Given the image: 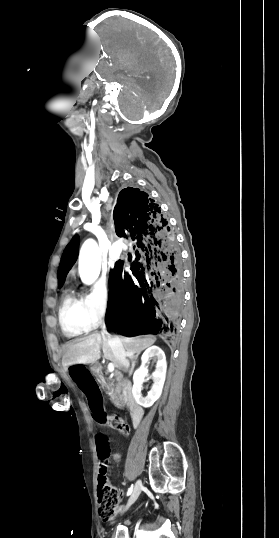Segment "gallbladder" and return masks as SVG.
<instances>
[{"mask_svg":"<svg viewBox=\"0 0 279 538\" xmlns=\"http://www.w3.org/2000/svg\"><path fill=\"white\" fill-rule=\"evenodd\" d=\"M121 383H124V380H121Z\"/></svg>","mask_w":279,"mask_h":538,"instance_id":"bac80fb5","label":"gallbladder"}]
</instances>
